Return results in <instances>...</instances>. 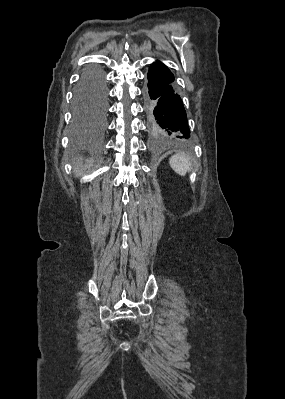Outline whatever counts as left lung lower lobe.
I'll list each match as a JSON object with an SVG mask.
<instances>
[{"mask_svg":"<svg viewBox=\"0 0 285 399\" xmlns=\"http://www.w3.org/2000/svg\"><path fill=\"white\" fill-rule=\"evenodd\" d=\"M145 106L153 137L158 140H185L190 137L186 112L176 93L174 76L165 64L155 61L148 71Z\"/></svg>","mask_w":285,"mask_h":399,"instance_id":"left-lung-lower-lobe-1","label":"left lung lower lobe"}]
</instances>
